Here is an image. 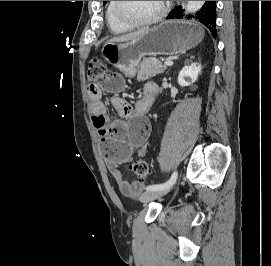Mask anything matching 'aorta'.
<instances>
[{
	"label": "aorta",
	"mask_w": 271,
	"mask_h": 266,
	"mask_svg": "<svg viewBox=\"0 0 271 266\" xmlns=\"http://www.w3.org/2000/svg\"><path fill=\"white\" fill-rule=\"evenodd\" d=\"M205 1H187L185 11L187 13H195L202 8Z\"/></svg>",
	"instance_id": "1"
}]
</instances>
